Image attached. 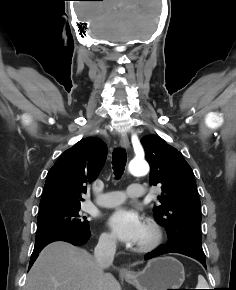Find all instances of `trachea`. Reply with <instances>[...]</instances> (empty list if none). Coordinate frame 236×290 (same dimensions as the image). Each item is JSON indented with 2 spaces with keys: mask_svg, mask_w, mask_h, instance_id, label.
<instances>
[{
  "mask_svg": "<svg viewBox=\"0 0 236 290\" xmlns=\"http://www.w3.org/2000/svg\"><path fill=\"white\" fill-rule=\"evenodd\" d=\"M126 162H127V154L125 150L123 149L114 150L112 154V165L114 174L117 179H119L122 176L124 168L126 166Z\"/></svg>",
  "mask_w": 236,
  "mask_h": 290,
  "instance_id": "obj_1",
  "label": "trachea"
}]
</instances>
